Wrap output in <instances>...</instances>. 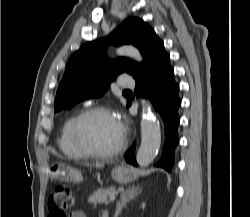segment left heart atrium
Returning a JSON list of instances; mask_svg holds the SVG:
<instances>
[{
  "instance_id": "left-heart-atrium-1",
  "label": "left heart atrium",
  "mask_w": 250,
  "mask_h": 217,
  "mask_svg": "<svg viewBox=\"0 0 250 217\" xmlns=\"http://www.w3.org/2000/svg\"><path fill=\"white\" fill-rule=\"evenodd\" d=\"M119 124H120L121 128L123 129V125L120 122H119Z\"/></svg>"
}]
</instances>
